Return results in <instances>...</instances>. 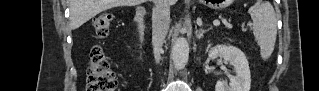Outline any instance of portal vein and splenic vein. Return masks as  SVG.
Returning a JSON list of instances; mask_svg holds the SVG:
<instances>
[{
  "mask_svg": "<svg viewBox=\"0 0 319 91\" xmlns=\"http://www.w3.org/2000/svg\"><path fill=\"white\" fill-rule=\"evenodd\" d=\"M213 25H214V26H219V25H220V21L215 20V21L213 22Z\"/></svg>",
  "mask_w": 319,
  "mask_h": 91,
  "instance_id": "obj_1",
  "label": "portal vein and splenic vein"
}]
</instances>
